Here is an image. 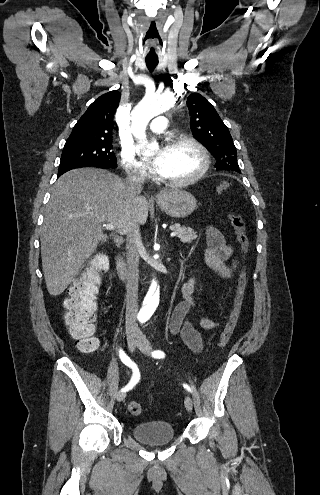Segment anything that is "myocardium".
Returning <instances> with one entry per match:
<instances>
[{"instance_id": "f54148a6", "label": "myocardium", "mask_w": 320, "mask_h": 495, "mask_svg": "<svg viewBox=\"0 0 320 495\" xmlns=\"http://www.w3.org/2000/svg\"><path fill=\"white\" fill-rule=\"evenodd\" d=\"M187 144L192 146L200 155L201 167L200 169L190 177L182 180H173L166 177H162V180L172 186H188L199 181L208 171L210 167V157L207 149L196 139L189 136H178L169 139L166 147L171 148L177 145Z\"/></svg>"}]
</instances>
